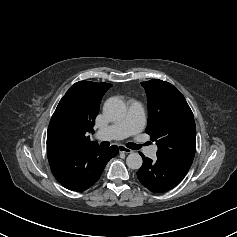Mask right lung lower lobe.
Masks as SVG:
<instances>
[{
	"label": "right lung lower lobe",
	"instance_id": "obj_1",
	"mask_svg": "<svg viewBox=\"0 0 237 237\" xmlns=\"http://www.w3.org/2000/svg\"><path fill=\"white\" fill-rule=\"evenodd\" d=\"M48 160L55 178L65 188L84 191L100 178L107 162L118 153L113 145L103 149L98 145L81 150L48 144Z\"/></svg>",
	"mask_w": 237,
	"mask_h": 237
}]
</instances>
